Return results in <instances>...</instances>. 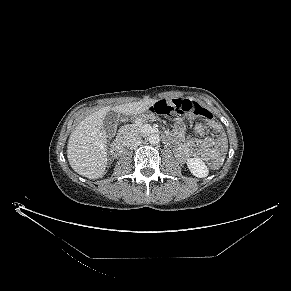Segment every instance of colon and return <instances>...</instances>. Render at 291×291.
Wrapping results in <instances>:
<instances>
[{
	"instance_id": "5ec220e1",
	"label": "colon",
	"mask_w": 291,
	"mask_h": 291,
	"mask_svg": "<svg viewBox=\"0 0 291 291\" xmlns=\"http://www.w3.org/2000/svg\"><path fill=\"white\" fill-rule=\"evenodd\" d=\"M150 110L152 113L158 115H179L187 118L199 117L209 126L214 121L213 115L208 109L197 102L186 99L161 100L155 103ZM221 165V160L210 162V167L213 169H218Z\"/></svg>"
}]
</instances>
